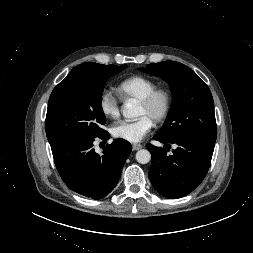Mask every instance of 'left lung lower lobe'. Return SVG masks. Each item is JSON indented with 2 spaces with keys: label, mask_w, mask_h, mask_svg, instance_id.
Segmentation results:
<instances>
[{
  "label": "left lung lower lobe",
  "mask_w": 253,
  "mask_h": 253,
  "mask_svg": "<svg viewBox=\"0 0 253 253\" xmlns=\"http://www.w3.org/2000/svg\"><path fill=\"white\" fill-rule=\"evenodd\" d=\"M153 138L162 143L178 145L172 150V155L166 154L165 147L163 149L151 144L146 145L152 154L149 177L154 188L162 196L170 199L188 195L206 176L215 142L199 137L166 140L155 135Z\"/></svg>",
  "instance_id": "1"
}]
</instances>
